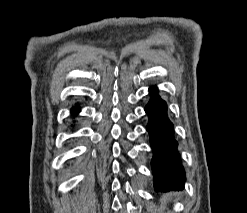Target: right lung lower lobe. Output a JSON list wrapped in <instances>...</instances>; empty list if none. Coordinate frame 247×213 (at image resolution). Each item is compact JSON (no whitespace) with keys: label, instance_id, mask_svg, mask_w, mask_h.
Returning <instances> with one entry per match:
<instances>
[{"label":"right lung lower lobe","instance_id":"right-lung-lower-lobe-1","mask_svg":"<svg viewBox=\"0 0 247 213\" xmlns=\"http://www.w3.org/2000/svg\"><path fill=\"white\" fill-rule=\"evenodd\" d=\"M79 111H80L79 108L73 107L72 114H77Z\"/></svg>","mask_w":247,"mask_h":213}]
</instances>
